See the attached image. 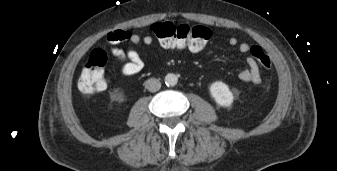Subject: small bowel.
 Returning <instances> with one entry per match:
<instances>
[{
  "mask_svg": "<svg viewBox=\"0 0 337 171\" xmlns=\"http://www.w3.org/2000/svg\"><path fill=\"white\" fill-rule=\"evenodd\" d=\"M108 41L111 44L127 41L131 45L125 50L119 47H112L110 49L113 59L120 67L121 75L125 77L136 75L144 68V62L133 46L141 44L151 46L154 44V39L150 35L140 36L135 33L123 31L110 33L108 35ZM228 44L232 47L238 46L241 53H248L250 50L249 44L239 43L235 37H230L228 39ZM239 79L243 82H251L253 84L261 83L260 70L253 57L249 56L247 58V68L239 73Z\"/></svg>",
  "mask_w": 337,
  "mask_h": 171,
  "instance_id": "obj_1",
  "label": "small bowel"
}]
</instances>
